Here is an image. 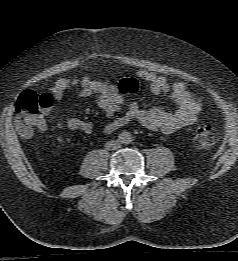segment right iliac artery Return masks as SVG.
Returning a JSON list of instances; mask_svg holds the SVG:
<instances>
[{
  "mask_svg": "<svg viewBox=\"0 0 238 261\" xmlns=\"http://www.w3.org/2000/svg\"><path fill=\"white\" fill-rule=\"evenodd\" d=\"M118 140L120 141V142H122V140H123V136H118Z\"/></svg>",
  "mask_w": 238,
  "mask_h": 261,
  "instance_id": "1",
  "label": "right iliac artery"
}]
</instances>
